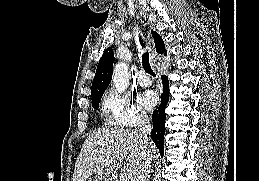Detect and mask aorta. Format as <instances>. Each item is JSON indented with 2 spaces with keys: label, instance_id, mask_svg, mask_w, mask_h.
<instances>
[{
  "label": "aorta",
  "instance_id": "1",
  "mask_svg": "<svg viewBox=\"0 0 259 181\" xmlns=\"http://www.w3.org/2000/svg\"><path fill=\"white\" fill-rule=\"evenodd\" d=\"M113 84L120 93L124 92L129 85L128 66L124 62H119L113 69Z\"/></svg>",
  "mask_w": 259,
  "mask_h": 181
}]
</instances>
